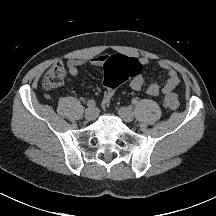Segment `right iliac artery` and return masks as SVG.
I'll use <instances>...</instances> for the list:
<instances>
[{
    "mask_svg": "<svg viewBox=\"0 0 216 216\" xmlns=\"http://www.w3.org/2000/svg\"><path fill=\"white\" fill-rule=\"evenodd\" d=\"M87 105H88V107L94 108L95 105H96V103H95L94 100H89V101L87 102Z\"/></svg>",
    "mask_w": 216,
    "mask_h": 216,
    "instance_id": "obj_1",
    "label": "right iliac artery"
}]
</instances>
